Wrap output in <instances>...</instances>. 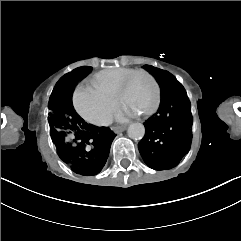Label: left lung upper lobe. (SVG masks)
<instances>
[{"mask_svg":"<svg viewBox=\"0 0 241 241\" xmlns=\"http://www.w3.org/2000/svg\"><path fill=\"white\" fill-rule=\"evenodd\" d=\"M144 68L148 70L158 81L161 88V94L165 93L171 88L181 86L176 78L167 71L160 70L150 65H144Z\"/></svg>","mask_w":241,"mask_h":241,"instance_id":"left-lung-upper-lobe-1","label":"left lung upper lobe"}]
</instances>
